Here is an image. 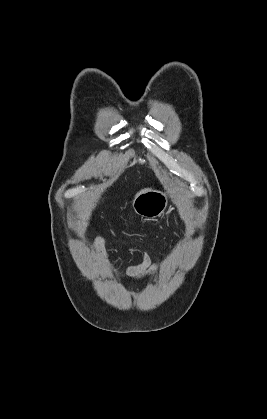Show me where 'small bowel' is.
I'll return each mask as SVG.
<instances>
[{
  "mask_svg": "<svg viewBox=\"0 0 267 419\" xmlns=\"http://www.w3.org/2000/svg\"><path fill=\"white\" fill-rule=\"evenodd\" d=\"M105 237L98 236L95 241V248L98 255L100 266L106 272L120 279L142 281L151 277L157 270V265L153 264L150 256L145 253L140 264L129 266L123 275H119L109 264L105 253Z\"/></svg>",
  "mask_w": 267,
  "mask_h": 419,
  "instance_id": "small-bowel-1",
  "label": "small bowel"
}]
</instances>
